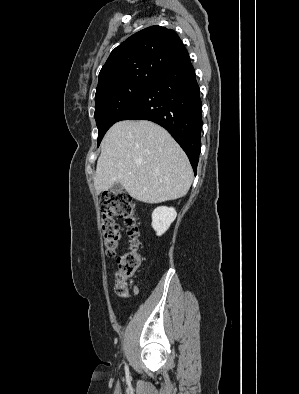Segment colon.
Wrapping results in <instances>:
<instances>
[{"instance_id":"5ec220e1","label":"colon","mask_w":299,"mask_h":394,"mask_svg":"<svg viewBox=\"0 0 299 394\" xmlns=\"http://www.w3.org/2000/svg\"><path fill=\"white\" fill-rule=\"evenodd\" d=\"M99 207L104 251L108 257H115L119 249L120 231L114 217L122 218L128 227V234L131 238L130 248L118 257L115 272L116 293L120 297H127L129 295L128 281L138 272L142 262L140 244L137 240L139 230L134 218V204L129 194L122 191H108L101 195Z\"/></svg>"}]
</instances>
